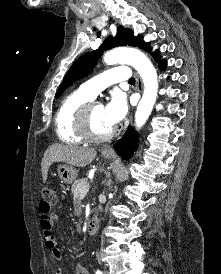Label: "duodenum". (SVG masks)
Returning <instances> with one entry per match:
<instances>
[{
    "instance_id": "obj_1",
    "label": "duodenum",
    "mask_w": 221,
    "mask_h": 274,
    "mask_svg": "<svg viewBox=\"0 0 221 274\" xmlns=\"http://www.w3.org/2000/svg\"><path fill=\"white\" fill-rule=\"evenodd\" d=\"M99 229V217L94 214L88 221L87 224V233L89 235H94Z\"/></svg>"
}]
</instances>
